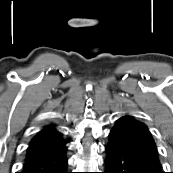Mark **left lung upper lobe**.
Returning a JSON list of instances; mask_svg holds the SVG:
<instances>
[{
    "mask_svg": "<svg viewBox=\"0 0 173 173\" xmlns=\"http://www.w3.org/2000/svg\"><path fill=\"white\" fill-rule=\"evenodd\" d=\"M109 142L158 158V150L148 128L129 115L118 119L110 131Z\"/></svg>",
    "mask_w": 173,
    "mask_h": 173,
    "instance_id": "5c2ea615",
    "label": "left lung upper lobe"
}]
</instances>
